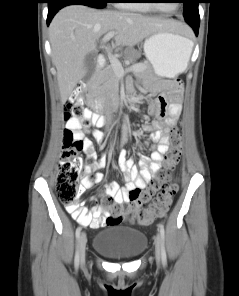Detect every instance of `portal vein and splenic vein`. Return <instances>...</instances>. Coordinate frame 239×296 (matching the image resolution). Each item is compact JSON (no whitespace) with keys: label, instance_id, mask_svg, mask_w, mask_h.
<instances>
[{"label":"portal vein and splenic vein","instance_id":"1","mask_svg":"<svg viewBox=\"0 0 239 296\" xmlns=\"http://www.w3.org/2000/svg\"><path fill=\"white\" fill-rule=\"evenodd\" d=\"M116 33L114 31H110L108 32L102 39V43L105 44L107 43L111 38L114 37ZM105 47V46H104ZM106 49V47H105ZM107 51V54H108V59L110 61V64L114 70V72L118 75V76H123L125 73L127 72H137V71H142L144 70V66L142 65H139V64H136V65H133L127 69H124L122 67V64L120 63V61L118 60L117 57H115L114 55L111 54L110 51Z\"/></svg>","mask_w":239,"mask_h":296}]
</instances>
